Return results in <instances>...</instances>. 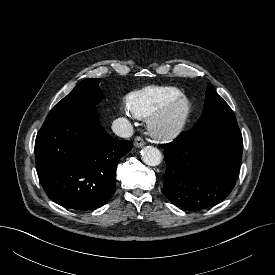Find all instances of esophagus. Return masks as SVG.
<instances>
[{"label":"esophagus","mask_w":275,"mask_h":275,"mask_svg":"<svg viewBox=\"0 0 275 275\" xmlns=\"http://www.w3.org/2000/svg\"><path fill=\"white\" fill-rule=\"evenodd\" d=\"M144 145H145V140L142 137L137 136L134 140V146L137 148H141Z\"/></svg>","instance_id":"34e87169"}]
</instances>
